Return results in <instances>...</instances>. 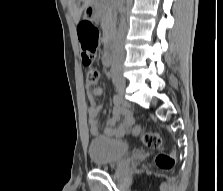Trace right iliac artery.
Returning a JSON list of instances; mask_svg holds the SVG:
<instances>
[{"label":"right iliac artery","instance_id":"82829eb1","mask_svg":"<svg viewBox=\"0 0 223 191\" xmlns=\"http://www.w3.org/2000/svg\"><path fill=\"white\" fill-rule=\"evenodd\" d=\"M114 101H116L118 103H121V97H120V95H118V94L114 95Z\"/></svg>","mask_w":223,"mask_h":191}]
</instances>
